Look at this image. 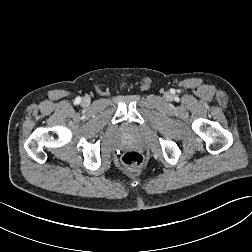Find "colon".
<instances>
[{
	"instance_id": "5ec220e1",
	"label": "colon",
	"mask_w": 252,
	"mask_h": 252,
	"mask_svg": "<svg viewBox=\"0 0 252 252\" xmlns=\"http://www.w3.org/2000/svg\"><path fill=\"white\" fill-rule=\"evenodd\" d=\"M121 161L129 169H138L143 164V156L136 151H128L123 154Z\"/></svg>"
}]
</instances>
